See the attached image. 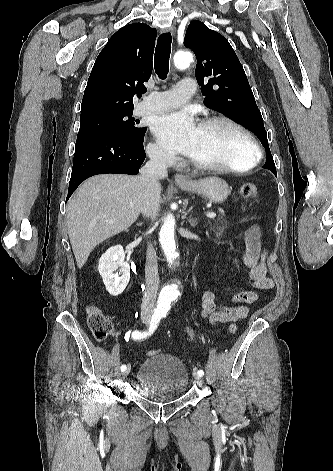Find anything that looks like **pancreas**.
Masks as SVG:
<instances>
[{
	"mask_svg": "<svg viewBox=\"0 0 333 471\" xmlns=\"http://www.w3.org/2000/svg\"><path fill=\"white\" fill-rule=\"evenodd\" d=\"M228 221L224 217H220L213 224L210 223L209 229L217 235H221L228 228Z\"/></svg>",
	"mask_w": 333,
	"mask_h": 471,
	"instance_id": "cf45deb5",
	"label": "pancreas"
}]
</instances>
